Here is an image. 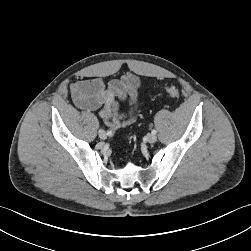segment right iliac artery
Here are the masks:
<instances>
[{
	"label": "right iliac artery",
	"mask_w": 251,
	"mask_h": 251,
	"mask_svg": "<svg viewBox=\"0 0 251 251\" xmlns=\"http://www.w3.org/2000/svg\"><path fill=\"white\" fill-rule=\"evenodd\" d=\"M107 135H112V131H107Z\"/></svg>",
	"instance_id": "obj_1"
}]
</instances>
